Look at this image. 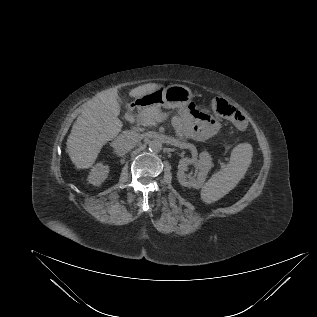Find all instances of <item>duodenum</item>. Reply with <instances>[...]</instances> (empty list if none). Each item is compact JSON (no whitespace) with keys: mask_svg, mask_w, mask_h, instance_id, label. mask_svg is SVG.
<instances>
[{"mask_svg":"<svg viewBox=\"0 0 317 317\" xmlns=\"http://www.w3.org/2000/svg\"><path fill=\"white\" fill-rule=\"evenodd\" d=\"M140 105V102H133L130 104V106L127 109V116L130 117L132 116L133 112L136 110V108Z\"/></svg>","mask_w":317,"mask_h":317,"instance_id":"duodenum-1","label":"duodenum"}]
</instances>
